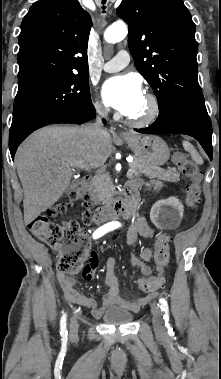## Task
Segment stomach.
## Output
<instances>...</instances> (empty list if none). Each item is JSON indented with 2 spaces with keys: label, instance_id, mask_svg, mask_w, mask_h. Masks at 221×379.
Returning <instances> with one entry per match:
<instances>
[{
  "label": "stomach",
  "instance_id": "obj_1",
  "mask_svg": "<svg viewBox=\"0 0 221 379\" xmlns=\"http://www.w3.org/2000/svg\"><path fill=\"white\" fill-rule=\"evenodd\" d=\"M124 140L135 154V158L150 166H161L170 157V150L166 142L154 135H140L129 133Z\"/></svg>",
  "mask_w": 221,
  "mask_h": 379
}]
</instances>
